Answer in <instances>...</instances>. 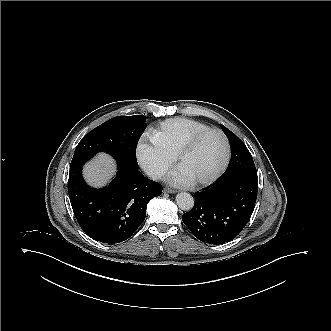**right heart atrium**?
<instances>
[{"instance_id": "obj_1", "label": "right heart atrium", "mask_w": 331, "mask_h": 331, "mask_svg": "<svg viewBox=\"0 0 331 331\" xmlns=\"http://www.w3.org/2000/svg\"><path fill=\"white\" fill-rule=\"evenodd\" d=\"M136 158L143 170L154 179L165 176L172 167L174 157L157 149L153 142L142 138L136 149Z\"/></svg>"}]
</instances>
